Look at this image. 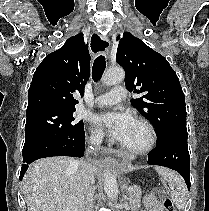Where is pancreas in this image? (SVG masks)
Listing matches in <instances>:
<instances>
[{
  "label": "pancreas",
  "instance_id": "1",
  "mask_svg": "<svg viewBox=\"0 0 209 211\" xmlns=\"http://www.w3.org/2000/svg\"><path fill=\"white\" fill-rule=\"evenodd\" d=\"M142 198V191L139 186H133L132 190L127 194V200L129 202L131 211H138L140 208V202Z\"/></svg>",
  "mask_w": 209,
  "mask_h": 211
}]
</instances>
